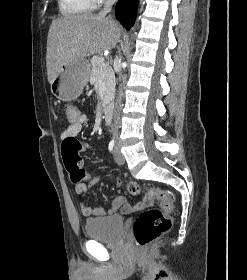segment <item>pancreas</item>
Here are the masks:
<instances>
[{
	"label": "pancreas",
	"mask_w": 247,
	"mask_h": 280,
	"mask_svg": "<svg viewBox=\"0 0 247 280\" xmlns=\"http://www.w3.org/2000/svg\"><path fill=\"white\" fill-rule=\"evenodd\" d=\"M102 63H105L102 56H93L90 60L91 71H90V83L96 84L98 79L101 78L104 84L103 93V106H105L112 95L114 88V72L111 67L101 68Z\"/></svg>",
	"instance_id": "pancreas-1"
}]
</instances>
